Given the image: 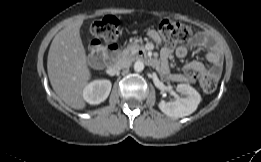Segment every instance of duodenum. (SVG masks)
Listing matches in <instances>:
<instances>
[{"label":"duodenum","instance_id":"410a0bca","mask_svg":"<svg viewBox=\"0 0 261 162\" xmlns=\"http://www.w3.org/2000/svg\"><path fill=\"white\" fill-rule=\"evenodd\" d=\"M120 53L118 51V48L116 45L112 44L106 49V54H105V60L109 61V65L112 71H115L117 69V62L120 60ZM144 61L149 64L150 66L154 68H162L165 64L161 63L158 60H153L151 58H148L146 56H143ZM101 64V63H97Z\"/></svg>","mask_w":261,"mask_h":162}]
</instances>
